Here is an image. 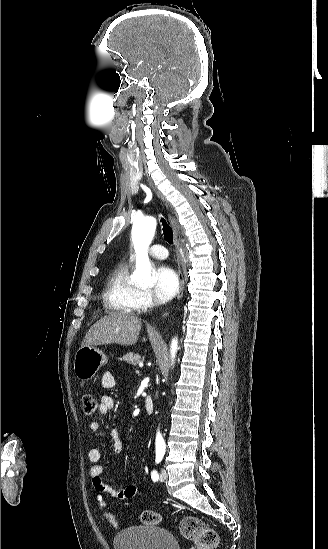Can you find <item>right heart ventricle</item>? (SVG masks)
Instances as JSON below:
<instances>
[{
	"label": "right heart ventricle",
	"mask_w": 328,
	"mask_h": 549,
	"mask_svg": "<svg viewBox=\"0 0 328 549\" xmlns=\"http://www.w3.org/2000/svg\"><path fill=\"white\" fill-rule=\"evenodd\" d=\"M128 259L111 274L103 294V310H109V319H138V313L145 307L143 290L130 279ZM129 317L125 318L124 314Z\"/></svg>",
	"instance_id": "1"
}]
</instances>
